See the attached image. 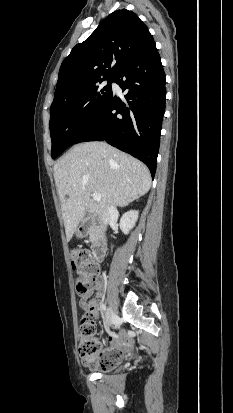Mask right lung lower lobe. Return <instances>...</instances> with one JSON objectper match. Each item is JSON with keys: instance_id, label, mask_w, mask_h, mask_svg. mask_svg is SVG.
<instances>
[{"instance_id": "obj_1", "label": "right lung lower lobe", "mask_w": 233, "mask_h": 413, "mask_svg": "<svg viewBox=\"0 0 233 413\" xmlns=\"http://www.w3.org/2000/svg\"><path fill=\"white\" fill-rule=\"evenodd\" d=\"M113 81L127 92L126 101L112 93L74 144L105 140L144 162L154 178L166 100L165 73L155 42L126 62Z\"/></svg>"}]
</instances>
